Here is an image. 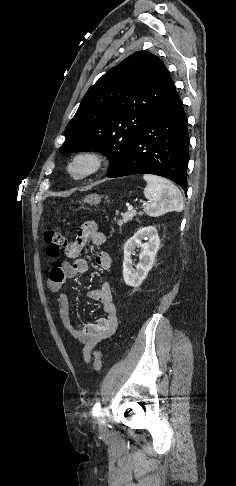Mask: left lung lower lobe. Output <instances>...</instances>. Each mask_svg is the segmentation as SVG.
Listing matches in <instances>:
<instances>
[{"mask_svg": "<svg viewBox=\"0 0 236 486\" xmlns=\"http://www.w3.org/2000/svg\"><path fill=\"white\" fill-rule=\"evenodd\" d=\"M188 147L187 116L175 90L134 138L108 177L154 174L173 180L187 191Z\"/></svg>", "mask_w": 236, "mask_h": 486, "instance_id": "1", "label": "left lung lower lobe"}]
</instances>
